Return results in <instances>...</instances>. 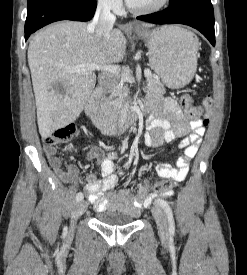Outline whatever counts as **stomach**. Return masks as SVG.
<instances>
[{
	"label": "stomach",
	"mask_w": 247,
	"mask_h": 275,
	"mask_svg": "<svg viewBox=\"0 0 247 275\" xmlns=\"http://www.w3.org/2000/svg\"><path fill=\"white\" fill-rule=\"evenodd\" d=\"M136 31L146 40L150 66L162 82L171 89L184 87L197 68L195 35L178 26Z\"/></svg>",
	"instance_id": "stomach-1"
}]
</instances>
